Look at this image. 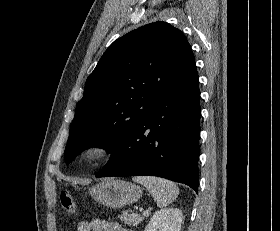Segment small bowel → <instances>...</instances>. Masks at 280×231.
I'll return each instance as SVG.
<instances>
[{"label":"small bowel","mask_w":280,"mask_h":231,"mask_svg":"<svg viewBox=\"0 0 280 231\" xmlns=\"http://www.w3.org/2000/svg\"><path fill=\"white\" fill-rule=\"evenodd\" d=\"M77 231H126V229L117 222L94 219L79 222Z\"/></svg>","instance_id":"1"}]
</instances>
